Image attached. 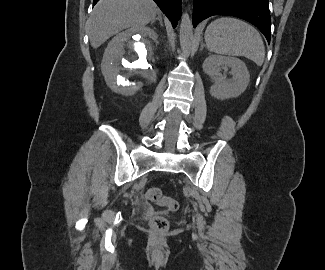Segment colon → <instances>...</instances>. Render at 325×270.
<instances>
[{"mask_svg": "<svg viewBox=\"0 0 325 270\" xmlns=\"http://www.w3.org/2000/svg\"><path fill=\"white\" fill-rule=\"evenodd\" d=\"M146 197L158 204L159 206L164 207L169 212H175L179 208L177 200L174 198L165 195L161 189L157 187L149 188L146 192ZM150 227L158 232H164L169 227L168 220L163 216H154L150 219Z\"/></svg>", "mask_w": 325, "mask_h": 270, "instance_id": "obj_1", "label": "colon"}]
</instances>
